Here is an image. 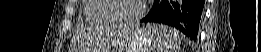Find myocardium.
Instances as JSON below:
<instances>
[{
    "mask_svg": "<svg viewBox=\"0 0 261 52\" xmlns=\"http://www.w3.org/2000/svg\"><path fill=\"white\" fill-rule=\"evenodd\" d=\"M119 0H111L109 3V9L112 12L113 15V19L115 21V23H123V24H131V23H135L138 20L141 19V17L144 15L145 11H146V1H141V5L139 10L137 11L136 14L130 16V17H121V16H116L114 14L115 8H116V2Z\"/></svg>",
    "mask_w": 261,
    "mask_h": 52,
    "instance_id": "1",
    "label": "myocardium"
}]
</instances>
